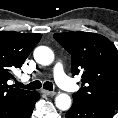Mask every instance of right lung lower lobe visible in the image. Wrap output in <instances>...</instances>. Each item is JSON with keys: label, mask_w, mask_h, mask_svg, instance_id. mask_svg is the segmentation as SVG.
I'll use <instances>...</instances> for the list:
<instances>
[{"label": "right lung lower lobe", "mask_w": 118, "mask_h": 118, "mask_svg": "<svg viewBox=\"0 0 118 118\" xmlns=\"http://www.w3.org/2000/svg\"><path fill=\"white\" fill-rule=\"evenodd\" d=\"M40 98V95H37L36 100L33 102V104L22 114L20 115L18 118H30L33 108H34V104L36 103V101Z\"/></svg>", "instance_id": "obj_1"}]
</instances>
